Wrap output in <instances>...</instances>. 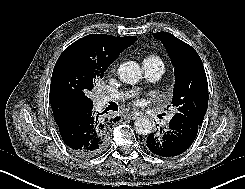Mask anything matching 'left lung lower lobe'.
I'll return each instance as SVG.
<instances>
[{
	"instance_id": "1",
	"label": "left lung lower lobe",
	"mask_w": 245,
	"mask_h": 189,
	"mask_svg": "<svg viewBox=\"0 0 245 189\" xmlns=\"http://www.w3.org/2000/svg\"><path fill=\"white\" fill-rule=\"evenodd\" d=\"M199 126L190 118L174 116L168 130L160 128V132L147 137V147L152 153L161 157L177 156L192 145Z\"/></svg>"
}]
</instances>
